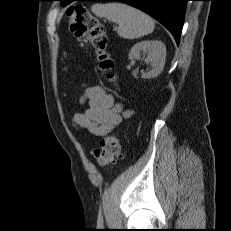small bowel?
I'll use <instances>...</instances> for the list:
<instances>
[{
	"instance_id": "small-bowel-1",
	"label": "small bowel",
	"mask_w": 231,
	"mask_h": 231,
	"mask_svg": "<svg viewBox=\"0 0 231 231\" xmlns=\"http://www.w3.org/2000/svg\"><path fill=\"white\" fill-rule=\"evenodd\" d=\"M80 103H87V109L73 118L75 128L85 130L97 137L112 132L124 118L133 115L132 110H124L120 104L101 86H89L79 98Z\"/></svg>"
}]
</instances>
